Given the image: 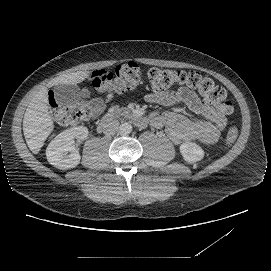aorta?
<instances>
[{
  "label": "aorta",
  "instance_id": "obj_1",
  "mask_svg": "<svg viewBox=\"0 0 271 271\" xmlns=\"http://www.w3.org/2000/svg\"><path fill=\"white\" fill-rule=\"evenodd\" d=\"M119 130L123 135L130 134L132 132V125L128 122H124L120 125Z\"/></svg>",
  "mask_w": 271,
  "mask_h": 271
}]
</instances>
